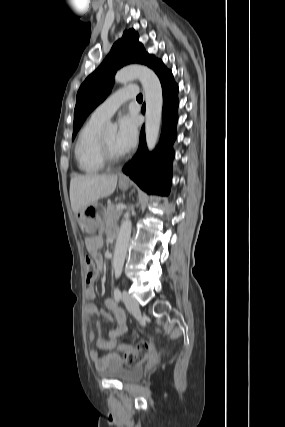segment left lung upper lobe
<instances>
[{
  "mask_svg": "<svg viewBox=\"0 0 285 427\" xmlns=\"http://www.w3.org/2000/svg\"><path fill=\"white\" fill-rule=\"evenodd\" d=\"M138 39L137 32L133 29L126 30L122 38L114 43L102 64L81 85L76 97L72 139L87 115L110 93L114 74L119 68L127 64L139 63L153 69L159 61L153 55L146 53Z\"/></svg>",
  "mask_w": 285,
  "mask_h": 427,
  "instance_id": "obj_1",
  "label": "left lung upper lobe"
}]
</instances>
